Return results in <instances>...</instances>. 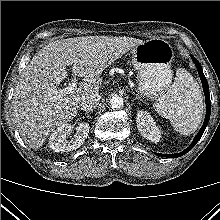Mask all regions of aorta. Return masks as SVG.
Listing matches in <instances>:
<instances>
[{
	"label": "aorta",
	"instance_id": "aorta-1",
	"mask_svg": "<svg viewBox=\"0 0 220 220\" xmlns=\"http://www.w3.org/2000/svg\"><path fill=\"white\" fill-rule=\"evenodd\" d=\"M110 106L111 108L113 109H120L123 107L124 105V100L121 96L119 95H113L111 98H110Z\"/></svg>",
	"mask_w": 220,
	"mask_h": 220
}]
</instances>
